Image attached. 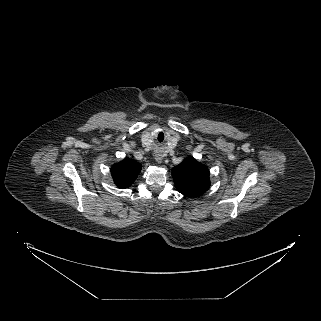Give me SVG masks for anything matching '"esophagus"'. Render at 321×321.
Returning a JSON list of instances; mask_svg holds the SVG:
<instances>
[{"label": "esophagus", "instance_id": "34e87169", "mask_svg": "<svg viewBox=\"0 0 321 321\" xmlns=\"http://www.w3.org/2000/svg\"><path fill=\"white\" fill-rule=\"evenodd\" d=\"M155 160L160 164V163H162V157H161V155H156L155 156Z\"/></svg>", "mask_w": 321, "mask_h": 321}]
</instances>
